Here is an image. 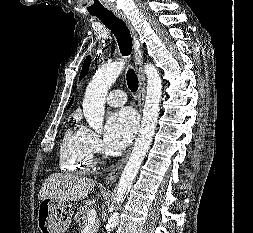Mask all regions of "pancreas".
Returning a JSON list of instances; mask_svg holds the SVG:
<instances>
[{
    "label": "pancreas",
    "instance_id": "pancreas-1",
    "mask_svg": "<svg viewBox=\"0 0 253 233\" xmlns=\"http://www.w3.org/2000/svg\"><path fill=\"white\" fill-rule=\"evenodd\" d=\"M90 208L87 206H82L79 208L78 212L75 215L76 221L79 223L80 228H84L87 225V214ZM99 231V222L96 220L91 227L90 233H98Z\"/></svg>",
    "mask_w": 253,
    "mask_h": 233
}]
</instances>
